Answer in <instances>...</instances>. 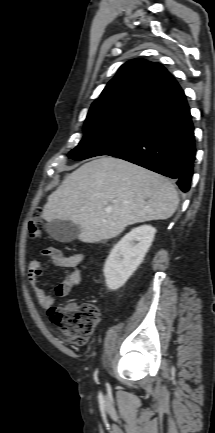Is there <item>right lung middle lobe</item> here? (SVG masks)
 Returning <instances> with one entry per match:
<instances>
[{"instance_id": "dd1d6c3e", "label": "right lung middle lobe", "mask_w": 215, "mask_h": 433, "mask_svg": "<svg viewBox=\"0 0 215 433\" xmlns=\"http://www.w3.org/2000/svg\"><path fill=\"white\" fill-rule=\"evenodd\" d=\"M146 116H121L85 122L84 137L69 152V158L80 161L100 155H109L127 144L137 135Z\"/></svg>"}]
</instances>
